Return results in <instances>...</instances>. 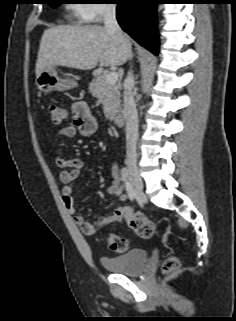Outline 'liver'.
<instances>
[{
	"instance_id": "6515ba94",
	"label": "liver",
	"mask_w": 236,
	"mask_h": 321,
	"mask_svg": "<svg viewBox=\"0 0 236 321\" xmlns=\"http://www.w3.org/2000/svg\"><path fill=\"white\" fill-rule=\"evenodd\" d=\"M130 41L99 25H60L44 31L36 61L35 72L56 66L90 70L98 63L120 66L129 58Z\"/></svg>"
}]
</instances>
